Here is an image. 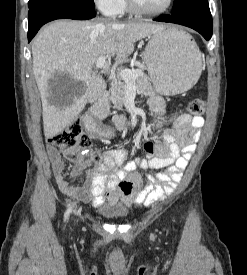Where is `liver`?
Listing matches in <instances>:
<instances>
[{
	"instance_id": "obj_1",
	"label": "liver",
	"mask_w": 247,
	"mask_h": 275,
	"mask_svg": "<svg viewBox=\"0 0 247 275\" xmlns=\"http://www.w3.org/2000/svg\"><path fill=\"white\" fill-rule=\"evenodd\" d=\"M164 25L148 22L57 20L44 27L32 43L33 74L42 101L44 135L53 138L71 125L87 102H95L106 83L92 69L100 57L121 63L134 43ZM66 73L79 82L74 95H51L49 80Z\"/></svg>"
}]
</instances>
